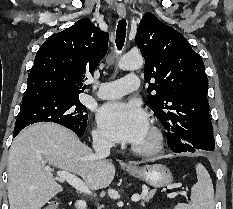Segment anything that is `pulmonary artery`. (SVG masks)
I'll return each instance as SVG.
<instances>
[{
    "instance_id": "obj_1",
    "label": "pulmonary artery",
    "mask_w": 233,
    "mask_h": 209,
    "mask_svg": "<svg viewBox=\"0 0 233 209\" xmlns=\"http://www.w3.org/2000/svg\"><path fill=\"white\" fill-rule=\"evenodd\" d=\"M140 79L137 75H127L121 79L100 84L98 97L111 99L134 92L139 88Z\"/></svg>"
}]
</instances>
